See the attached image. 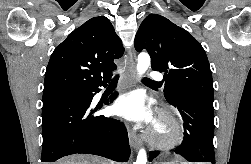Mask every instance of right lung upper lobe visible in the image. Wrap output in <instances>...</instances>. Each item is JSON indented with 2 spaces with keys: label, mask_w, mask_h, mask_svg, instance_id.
Wrapping results in <instances>:
<instances>
[{
  "label": "right lung upper lobe",
  "mask_w": 251,
  "mask_h": 164,
  "mask_svg": "<svg viewBox=\"0 0 251 164\" xmlns=\"http://www.w3.org/2000/svg\"><path fill=\"white\" fill-rule=\"evenodd\" d=\"M123 54L120 38L105 16L93 17L56 47L48 63L44 92L87 88L108 82Z\"/></svg>",
  "instance_id": "obj_1"
}]
</instances>
